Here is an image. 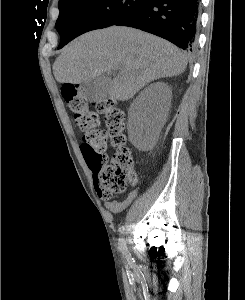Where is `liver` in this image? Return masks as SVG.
<instances>
[{
    "mask_svg": "<svg viewBox=\"0 0 245 300\" xmlns=\"http://www.w3.org/2000/svg\"><path fill=\"white\" fill-rule=\"evenodd\" d=\"M187 57L170 42L149 33L116 27L88 32L71 42L53 64L59 83L80 84L119 70L109 96L126 101L159 78L182 74Z\"/></svg>",
    "mask_w": 245,
    "mask_h": 300,
    "instance_id": "1",
    "label": "liver"
}]
</instances>
